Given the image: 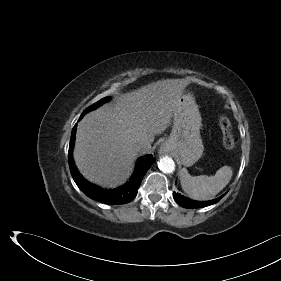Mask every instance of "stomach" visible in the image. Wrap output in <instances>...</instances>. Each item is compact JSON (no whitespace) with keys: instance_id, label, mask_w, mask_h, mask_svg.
Returning <instances> with one entry per match:
<instances>
[{"instance_id":"stomach-1","label":"stomach","mask_w":281,"mask_h":281,"mask_svg":"<svg viewBox=\"0 0 281 281\" xmlns=\"http://www.w3.org/2000/svg\"><path fill=\"white\" fill-rule=\"evenodd\" d=\"M201 115L192 94H182L173 111L170 136L161 149L172 153L186 167L196 163L203 154L200 136Z\"/></svg>"}]
</instances>
